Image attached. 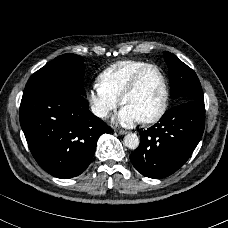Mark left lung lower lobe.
Instances as JSON below:
<instances>
[{
  "label": "left lung lower lobe",
  "instance_id": "left-lung-lower-lobe-1",
  "mask_svg": "<svg viewBox=\"0 0 228 228\" xmlns=\"http://www.w3.org/2000/svg\"><path fill=\"white\" fill-rule=\"evenodd\" d=\"M205 127L204 101H187L168 110L158 123L140 132V145L130 155L144 176L161 179L189 159Z\"/></svg>",
  "mask_w": 228,
  "mask_h": 228
}]
</instances>
